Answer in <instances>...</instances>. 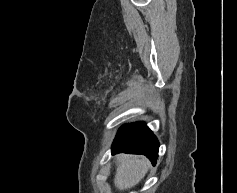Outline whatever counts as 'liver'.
I'll return each mask as SVG.
<instances>
[{
  "label": "liver",
  "instance_id": "obj_1",
  "mask_svg": "<svg viewBox=\"0 0 237 193\" xmlns=\"http://www.w3.org/2000/svg\"><path fill=\"white\" fill-rule=\"evenodd\" d=\"M114 184L119 190L136 186L147 174L150 162L143 156L118 155Z\"/></svg>",
  "mask_w": 237,
  "mask_h": 193
}]
</instances>
